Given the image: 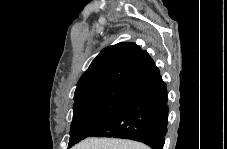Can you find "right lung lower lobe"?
Returning a JSON list of instances; mask_svg holds the SVG:
<instances>
[{
  "mask_svg": "<svg viewBox=\"0 0 227 149\" xmlns=\"http://www.w3.org/2000/svg\"><path fill=\"white\" fill-rule=\"evenodd\" d=\"M167 88L160 74L137 86L119 110L89 137H114L163 149L168 124Z\"/></svg>",
  "mask_w": 227,
  "mask_h": 149,
  "instance_id": "1",
  "label": "right lung lower lobe"
}]
</instances>
